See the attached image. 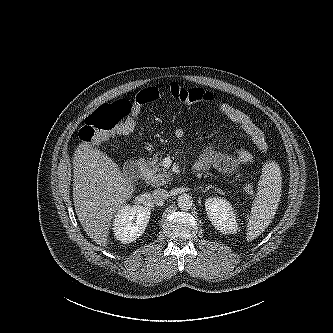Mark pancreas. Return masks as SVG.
<instances>
[{
	"instance_id": "pancreas-1",
	"label": "pancreas",
	"mask_w": 333,
	"mask_h": 333,
	"mask_svg": "<svg viewBox=\"0 0 333 333\" xmlns=\"http://www.w3.org/2000/svg\"><path fill=\"white\" fill-rule=\"evenodd\" d=\"M145 175L152 186H161L171 180L172 174L167 169L162 168V161L156 154L148 161Z\"/></svg>"
}]
</instances>
